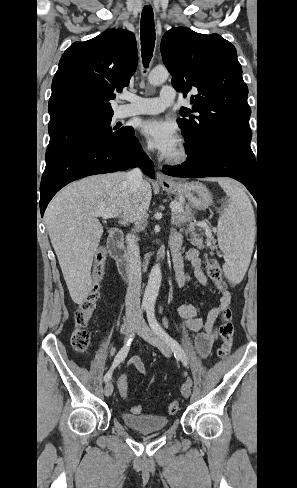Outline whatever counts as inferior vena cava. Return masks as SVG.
I'll use <instances>...</instances> for the list:
<instances>
[{
  "label": "inferior vena cava",
  "mask_w": 297,
  "mask_h": 488,
  "mask_svg": "<svg viewBox=\"0 0 297 488\" xmlns=\"http://www.w3.org/2000/svg\"><path fill=\"white\" fill-rule=\"evenodd\" d=\"M143 173L139 168L132 169L127 173V182L131 189L139 188L143 183ZM138 238L128 234L126 237L127 252L129 260L128 288L125 298L126 316H141L140 311V290H141V260Z\"/></svg>",
  "instance_id": "1"
}]
</instances>
